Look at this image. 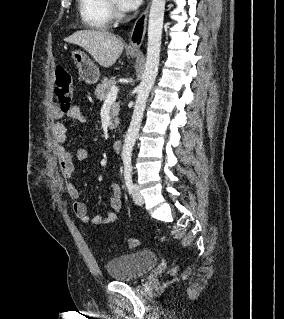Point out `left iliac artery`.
I'll return each mask as SVG.
<instances>
[{
	"mask_svg": "<svg viewBox=\"0 0 284 319\" xmlns=\"http://www.w3.org/2000/svg\"><path fill=\"white\" fill-rule=\"evenodd\" d=\"M124 179L125 184L129 193H132L133 190V182H132V166H131V159L126 158L124 159Z\"/></svg>",
	"mask_w": 284,
	"mask_h": 319,
	"instance_id": "left-iliac-artery-1",
	"label": "left iliac artery"
}]
</instances>
